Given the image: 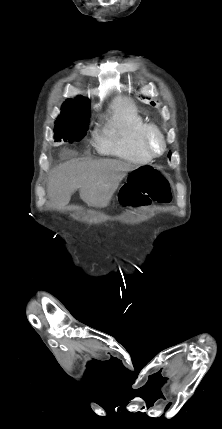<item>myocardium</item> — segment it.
<instances>
[{
  "label": "myocardium",
  "instance_id": "f54148a6",
  "mask_svg": "<svg viewBox=\"0 0 222 429\" xmlns=\"http://www.w3.org/2000/svg\"><path fill=\"white\" fill-rule=\"evenodd\" d=\"M152 136H156L162 144V148L159 152L155 151L151 146V137ZM142 146H143V149L145 150V152L151 158H158L166 152L167 143H166L165 135L158 126H156L154 124H148L145 127L143 135H142Z\"/></svg>",
  "mask_w": 222,
  "mask_h": 429
}]
</instances>
